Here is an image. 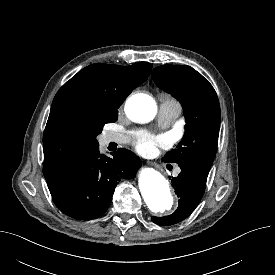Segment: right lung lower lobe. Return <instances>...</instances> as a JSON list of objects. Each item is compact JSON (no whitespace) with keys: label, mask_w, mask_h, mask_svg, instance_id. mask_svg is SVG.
Listing matches in <instances>:
<instances>
[{"label":"right lung lower lobe","mask_w":275,"mask_h":275,"mask_svg":"<svg viewBox=\"0 0 275 275\" xmlns=\"http://www.w3.org/2000/svg\"><path fill=\"white\" fill-rule=\"evenodd\" d=\"M111 157L91 149L72 160L47 180L55 205L79 220L101 216L108 209L117 181L131 179L141 166L140 159L122 148Z\"/></svg>","instance_id":"1"}]
</instances>
